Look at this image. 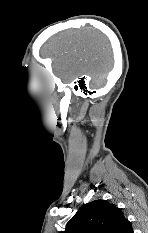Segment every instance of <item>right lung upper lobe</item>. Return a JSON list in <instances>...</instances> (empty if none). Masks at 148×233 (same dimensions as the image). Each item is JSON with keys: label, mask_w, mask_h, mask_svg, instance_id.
Masks as SVG:
<instances>
[{"label": "right lung upper lobe", "mask_w": 148, "mask_h": 233, "mask_svg": "<svg viewBox=\"0 0 148 233\" xmlns=\"http://www.w3.org/2000/svg\"><path fill=\"white\" fill-rule=\"evenodd\" d=\"M61 233H133V228L120 208L95 200L80 207Z\"/></svg>", "instance_id": "1"}]
</instances>
